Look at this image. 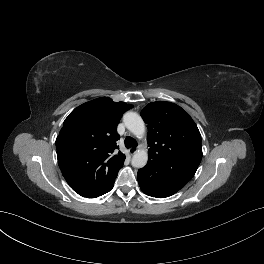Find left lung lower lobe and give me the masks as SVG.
Masks as SVG:
<instances>
[{
  "label": "left lung lower lobe",
  "mask_w": 264,
  "mask_h": 264,
  "mask_svg": "<svg viewBox=\"0 0 264 264\" xmlns=\"http://www.w3.org/2000/svg\"><path fill=\"white\" fill-rule=\"evenodd\" d=\"M137 179L145 194L157 198L173 195L189 181L182 174L163 172L153 161H148L144 168L138 170Z\"/></svg>",
  "instance_id": "left-lung-lower-lobe-1"
}]
</instances>
